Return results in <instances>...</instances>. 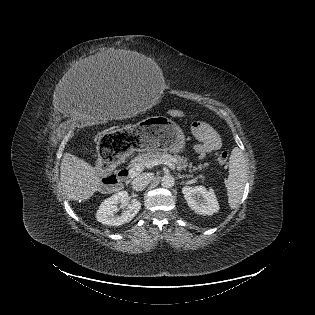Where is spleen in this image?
I'll list each match as a JSON object with an SVG mask.
<instances>
[{"label":"spleen","mask_w":315,"mask_h":315,"mask_svg":"<svg viewBox=\"0 0 315 315\" xmlns=\"http://www.w3.org/2000/svg\"><path fill=\"white\" fill-rule=\"evenodd\" d=\"M248 163L239 148H234L229 160V176L226 181L228 204L234 209L239 204L246 182Z\"/></svg>","instance_id":"spleen-1"}]
</instances>
